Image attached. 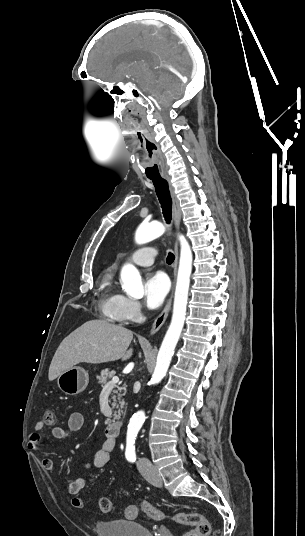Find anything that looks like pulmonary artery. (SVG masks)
<instances>
[{
    "mask_svg": "<svg viewBox=\"0 0 305 536\" xmlns=\"http://www.w3.org/2000/svg\"><path fill=\"white\" fill-rule=\"evenodd\" d=\"M157 251L154 246H145L129 256V261L139 266H150L154 263Z\"/></svg>",
    "mask_w": 305,
    "mask_h": 536,
    "instance_id": "pulmonary-artery-1",
    "label": "pulmonary artery"
}]
</instances>
